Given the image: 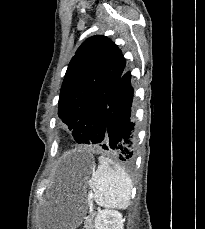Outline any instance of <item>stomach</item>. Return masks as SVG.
Listing matches in <instances>:
<instances>
[{"instance_id":"1","label":"stomach","mask_w":205,"mask_h":229,"mask_svg":"<svg viewBox=\"0 0 205 229\" xmlns=\"http://www.w3.org/2000/svg\"><path fill=\"white\" fill-rule=\"evenodd\" d=\"M80 157V175L87 177L94 166L93 157L88 154H82ZM80 203L81 206L59 199L41 204L38 211V229H76L82 222L85 199Z\"/></svg>"}]
</instances>
